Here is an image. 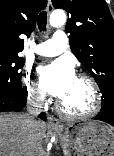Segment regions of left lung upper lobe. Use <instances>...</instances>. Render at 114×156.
I'll list each match as a JSON object with an SVG mask.
<instances>
[{
  "label": "left lung upper lobe",
  "mask_w": 114,
  "mask_h": 156,
  "mask_svg": "<svg viewBox=\"0 0 114 156\" xmlns=\"http://www.w3.org/2000/svg\"><path fill=\"white\" fill-rule=\"evenodd\" d=\"M70 14L65 29L76 58L102 93L101 110H114V20L105 0H52Z\"/></svg>",
  "instance_id": "obj_1"
}]
</instances>
